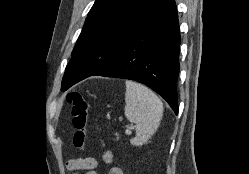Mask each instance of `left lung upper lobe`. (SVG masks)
I'll return each mask as SVG.
<instances>
[{"instance_id":"5c2ea615","label":"left lung upper lobe","mask_w":249,"mask_h":174,"mask_svg":"<svg viewBox=\"0 0 249 174\" xmlns=\"http://www.w3.org/2000/svg\"><path fill=\"white\" fill-rule=\"evenodd\" d=\"M166 0H96L72 51L62 91L105 67Z\"/></svg>"}]
</instances>
